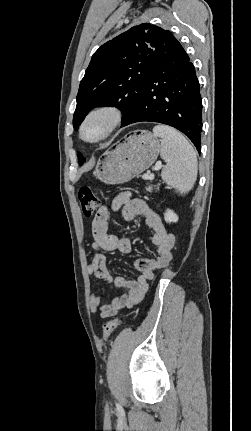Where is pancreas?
Returning <instances> with one entry per match:
<instances>
[{"label": "pancreas", "instance_id": "1", "mask_svg": "<svg viewBox=\"0 0 251 431\" xmlns=\"http://www.w3.org/2000/svg\"><path fill=\"white\" fill-rule=\"evenodd\" d=\"M156 189L158 190V189H159V187H157ZM146 190H147L148 192H152V191H153V186H148V187H146Z\"/></svg>", "mask_w": 251, "mask_h": 431}]
</instances>
